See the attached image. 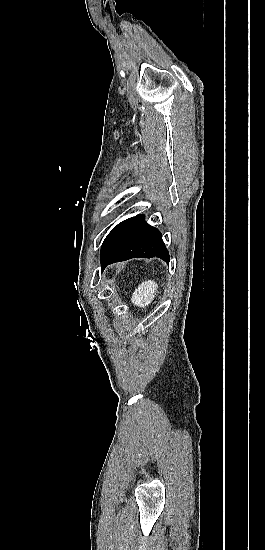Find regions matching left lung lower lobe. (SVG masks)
Here are the masks:
<instances>
[{
    "label": "left lung lower lobe",
    "mask_w": 265,
    "mask_h": 550,
    "mask_svg": "<svg viewBox=\"0 0 265 550\" xmlns=\"http://www.w3.org/2000/svg\"><path fill=\"white\" fill-rule=\"evenodd\" d=\"M135 257H160L169 263V253L162 240L161 233L147 224L144 219L114 250L101 257V269L103 271L111 263Z\"/></svg>",
    "instance_id": "left-lung-lower-lobe-1"
}]
</instances>
